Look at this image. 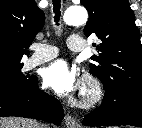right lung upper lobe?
<instances>
[{"label": "right lung upper lobe", "mask_w": 142, "mask_h": 128, "mask_svg": "<svg viewBox=\"0 0 142 128\" xmlns=\"http://www.w3.org/2000/svg\"><path fill=\"white\" fill-rule=\"evenodd\" d=\"M44 22V12L34 0H0V65H22Z\"/></svg>", "instance_id": "obj_1"}]
</instances>
